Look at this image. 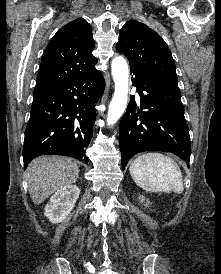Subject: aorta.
<instances>
[{"instance_id":"1","label":"aorta","mask_w":221,"mask_h":274,"mask_svg":"<svg viewBox=\"0 0 221 274\" xmlns=\"http://www.w3.org/2000/svg\"><path fill=\"white\" fill-rule=\"evenodd\" d=\"M115 91L107 113L108 125L115 124L122 116L128 101V64L122 56L115 57L111 63Z\"/></svg>"}]
</instances>
